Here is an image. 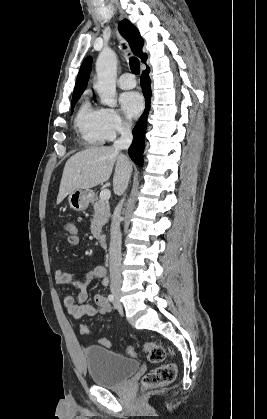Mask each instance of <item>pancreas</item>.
<instances>
[{
	"label": "pancreas",
	"mask_w": 267,
	"mask_h": 419,
	"mask_svg": "<svg viewBox=\"0 0 267 419\" xmlns=\"http://www.w3.org/2000/svg\"><path fill=\"white\" fill-rule=\"evenodd\" d=\"M94 215L91 221V233L95 238H99L102 232V227L107 223L110 217V207L104 200H95Z\"/></svg>",
	"instance_id": "pancreas-1"
}]
</instances>
